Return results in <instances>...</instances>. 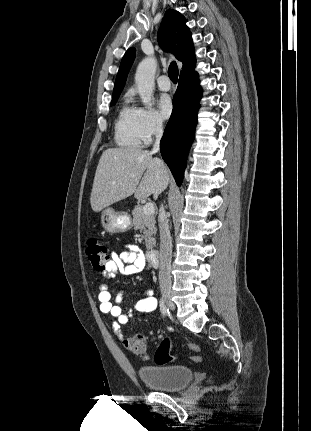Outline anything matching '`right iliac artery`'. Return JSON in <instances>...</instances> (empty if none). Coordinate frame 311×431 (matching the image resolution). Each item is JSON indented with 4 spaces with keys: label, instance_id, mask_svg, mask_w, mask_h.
<instances>
[{
    "label": "right iliac artery",
    "instance_id": "obj_1",
    "mask_svg": "<svg viewBox=\"0 0 311 431\" xmlns=\"http://www.w3.org/2000/svg\"><path fill=\"white\" fill-rule=\"evenodd\" d=\"M160 311L163 316H167L169 314V308L167 307L163 298L160 299Z\"/></svg>",
    "mask_w": 311,
    "mask_h": 431
}]
</instances>
